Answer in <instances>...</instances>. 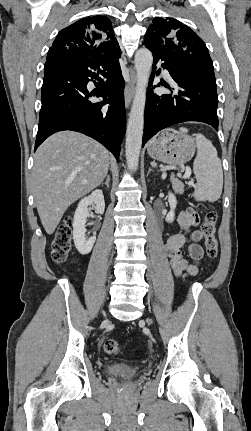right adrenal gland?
<instances>
[{
    "label": "right adrenal gland",
    "instance_id": "1",
    "mask_svg": "<svg viewBox=\"0 0 251 431\" xmlns=\"http://www.w3.org/2000/svg\"><path fill=\"white\" fill-rule=\"evenodd\" d=\"M109 184H110V176L106 175V181L103 182L101 185L102 186L106 185V187L109 188Z\"/></svg>",
    "mask_w": 251,
    "mask_h": 431
}]
</instances>
